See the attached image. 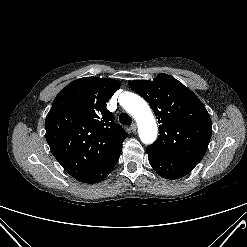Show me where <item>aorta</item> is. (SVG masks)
I'll return each instance as SVG.
<instances>
[{
    "instance_id": "1",
    "label": "aorta",
    "mask_w": 247,
    "mask_h": 247,
    "mask_svg": "<svg viewBox=\"0 0 247 247\" xmlns=\"http://www.w3.org/2000/svg\"><path fill=\"white\" fill-rule=\"evenodd\" d=\"M122 105L134 117L138 124L140 140L144 144H151L157 137V124L152 111L146 101L133 93H124Z\"/></svg>"
}]
</instances>
